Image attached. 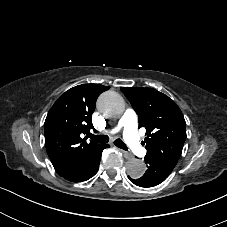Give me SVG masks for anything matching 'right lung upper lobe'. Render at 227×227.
Wrapping results in <instances>:
<instances>
[{
    "label": "right lung upper lobe",
    "instance_id": "cb5924a9",
    "mask_svg": "<svg viewBox=\"0 0 227 227\" xmlns=\"http://www.w3.org/2000/svg\"><path fill=\"white\" fill-rule=\"evenodd\" d=\"M110 87L99 84L75 86L54 103L45 120V146L55 169L74 171L87 154L100 145L86 141L94 129L92 113L98 96Z\"/></svg>",
    "mask_w": 227,
    "mask_h": 227
}]
</instances>
